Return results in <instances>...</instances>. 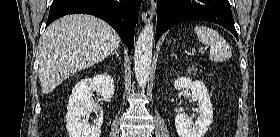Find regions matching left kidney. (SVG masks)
Listing matches in <instances>:
<instances>
[{
	"label": "left kidney",
	"instance_id": "left-kidney-1",
	"mask_svg": "<svg viewBox=\"0 0 280 137\" xmlns=\"http://www.w3.org/2000/svg\"><path fill=\"white\" fill-rule=\"evenodd\" d=\"M174 88L182 90L191 89L192 99L198 101L196 110L198 117L195 121L182 113L175 117V126L179 137H203L213 121V108L207 87L200 81H192L189 77H178L174 81Z\"/></svg>",
	"mask_w": 280,
	"mask_h": 137
}]
</instances>
